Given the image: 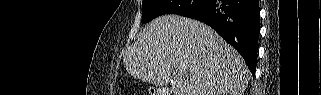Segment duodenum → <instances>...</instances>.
Returning <instances> with one entry per match:
<instances>
[{
	"label": "duodenum",
	"instance_id": "410a0bca",
	"mask_svg": "<svg viewBox=\"0 0 321 95\" xmlns=\"http://www.w3.org/2000/svg\"><path fill=\"white\" fill-rule=\"evenodd\" d=\"M158 95H169V92H156Z\"/></svg>",
	"mask_w": 321,
	"mask_h": 95
}]
</instances>
